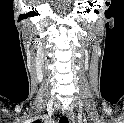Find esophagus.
<instances>
[{
    "label": "esophagus",
    "mask_w": 124,
    "mask_h": 123,
    "mask_svg": "<svg viewBox=\"0 0 124 123\" xmlns=\"http://www.w3.org/2000/svg\"><path fill=\"white\" fill-rule=\"evenodd\" d=\"M62 113L69 119L70 123H74V116L70 109H64Z\"/></svg>",
    "instance_id": "34e87169"
}]
</instances>
